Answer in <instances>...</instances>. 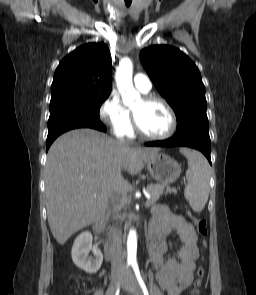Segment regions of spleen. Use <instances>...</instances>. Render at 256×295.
I'll return each instance as SVG.
<instances>
[{"label": "spleen", "mask_w": 256, "mask_h": 295, "mask_svg": "<svg viewBox=\"0 0 256 295\" xmlns=\"http://www.w3.org/2000/svg\"><path fill=\"white\" fill-rule=\"evenodd\" d=\"M180 151L188 160L186 172L188 184L184 190L185 199L194 211L201 212L209 197V163L198 151L188 148H182Z\"/></svg>", "instance_id": "1"}]
</instances>
